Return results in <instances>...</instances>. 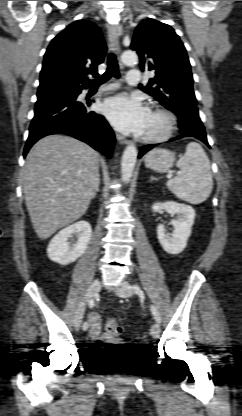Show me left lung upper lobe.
<instances>
[{
  "label": "left lung upper lobe",
  "mask_w": 242,
  "mask_h": 416,
  "mask_svg": "<svg viewBox=\"0 0 242 416\" xmlns=\"http://www.w3.org/2000/svg\"><path fill=\"white\" fill-rule=\"evenodd\" d=\"M131 49L140 57V68L153 70L155 77L140 89L174 112L180 125L193 124L205 133L193 91V77L186 49L167 24L148 18L135 29Z\"/></svg>",
  "instance_id": "5c2ea615"
}]
</instances>
